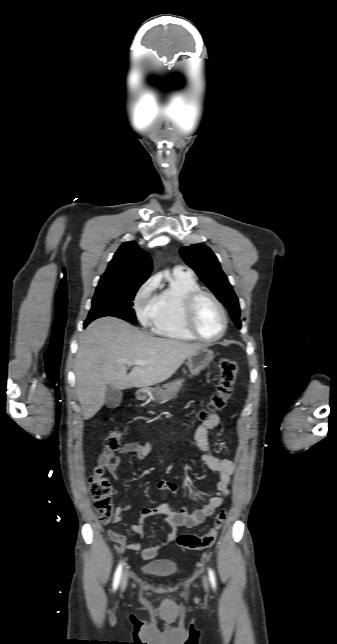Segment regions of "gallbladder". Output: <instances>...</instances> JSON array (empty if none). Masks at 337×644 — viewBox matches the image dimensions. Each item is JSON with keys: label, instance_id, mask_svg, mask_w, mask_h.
<instances>
[{"label": "gallbladder", "instance_id": "gallbladder-1", "mask_svg": "<svg viewBox=\"0 0 337 644\" xmlns=\"http://www.w3.org/2000/svg\"><path fill=\"white\" fill-rule=\"evenodd\" d=\"M122 391L108 386L105 392V404L108 408H116L120 405L122 400Z\"/></svg>", "mask_w": 337, "mask_h": 644}]
</instances>
